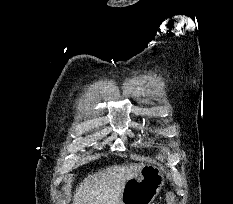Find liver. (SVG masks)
Masks as SVG:
<instances>
[{"instance_id": "6515ba94", "label": "liver", "mask_w": 233, "mask_h": 204, "mask_svg": "<svg viewBox=\"0 0 233 204\" xmlns=\"http://www.w3.org/2000/svg\"><path fill=\"white\" fill-rule=\"evenodd\" d=\"M142 165H116L88 175L77 187L73 204H121L125 183L138 175Z\"/></svg>"}]
</instances>
